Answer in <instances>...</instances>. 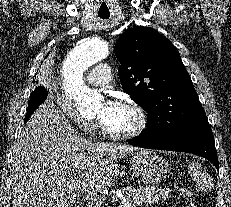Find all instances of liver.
<instances>
[{
	"instance_id": "liver-1",
	"label": "liver",
	"mask_w": 231,
	"mask_h": 207,
	"mask_svg": "<svg viewBox=\"0 0 231 207\" xmlns=\"http://www.w3.org/2000/svg\"><path fill=\"white\" fill-rule=\"evenodd\" d=\"M140 148L82 138L45 102L23 128L13 153V207H69L82 191L99 192L119 175L117 159Z\"/></svg>"
}]
</instances>
